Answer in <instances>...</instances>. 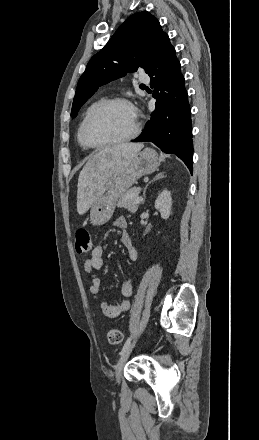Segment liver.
I'll return each mask as SVG.
<instances>
[{
  "label": "liver",
  "instance_id": "obj_1",
  "mask_svg": "<svg viewBox=\"0 0 259 440\" xmlns=\"http://www.w3.org/2000/svg\"><path fill=\"white\" fill-rule=\"evenodd\" d=\"M143 147L142 143H123L105 147L92 156L78 178L77 212L80 215L105 193Z\"/></svg>",
  "mask_w": 259,
  "mask_h": 440
}]
</instances>
